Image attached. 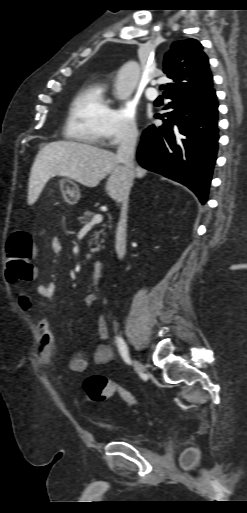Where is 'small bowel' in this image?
Wrapping results in <instances>:
<instances>
[{"instance_id": "1", "label": "small bowel", "mask_w": 247, "mask_h": 513, "mask_svg": "<svg viewBox=\"0 0 247 513\" xmlns=\"http://www.w3.org/2000/svg\"><path fill=\"white\" fill-rule=\"evenodd\" d=\"M51 249L54 255L57 257L62 251V242L58 237H54L51 241ZM37 281V269H34V276L32 279ZM57 280L55 276L46 282L36 283L37 293L44 298L51 297L57 290ZM98 301V296L95 293H89L84 297V305L86 307L94 306ZM19 302L22 307L27 309L31 308L32 300L24 292H20ZM37 329L40 334L38 342V358L41 363L45 365H52L55 357V339L50 326V323L46 319H40L37 323ZM97 334L100 339V343L95 348L93 354V361L98 365L108 364L113 360V351L104 341L108 336V323L104 316H99L96 323ZM68 369L72 372L83 373L88 369L89 360L83 351H80L73 355L68 361Z\"/></svg>"}]
</instances>
